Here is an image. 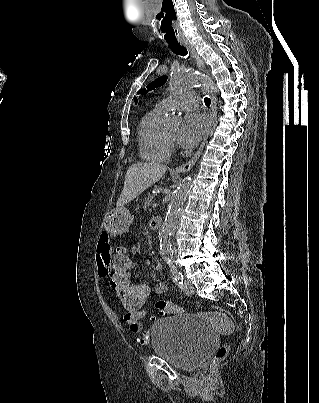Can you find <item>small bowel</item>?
Wrapping results in <instances>:
<instances>
[{
  "label": "small bowel",
  "mask_w": 319,
  "mask_h": 403,
  "mask_svg": "<svg viewBox=\"0 0 319 403\" xmlns=\"http://www.w3.org/2000/svg\"><path fill=\"white\" fill-rule=\"evenodd\" d=\"M151 223V221L149 222ZM123 247L129 246L128 240L122 241ZM113 258L111 246L109 243L108 234L104 233L100 236L97 244V265L99 268V276L104 277V284L111 286L113 284ZM163 268L161 263L156 264V269L161 271ZM114 291V288L111 287ZM168 290L167 282H160L156 285L154 292L157 295L164 294ZM116 293V291H114ZM151 291H147V301L149 299ZM146 301V302H147ZM145 313H125L124 319L129 324L130 331L133 333L140 332L142 328L141 320Z\"/></svg>",
  "instance_id": "1"
}]
</instances>
